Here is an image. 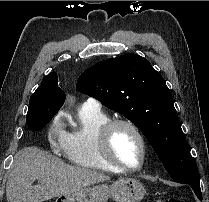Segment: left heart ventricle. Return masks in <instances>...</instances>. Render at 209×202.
Instances as JSON below:
<instances>
[{"instance_id":"1","label":"left heart ventricle","mask_w":209,"mask_h":202,"mask_svg":"<svg viewBox=\"0 0 209 202\" xmlns=\"http://www.w3.org/2000/svg\"><path fill=\"white\" fill-rule=\"evenodd\" d=\"M113 156L125 165L135 167L141 161V145L135 133L126 126L116 127L111 135Z\"/></svg>"}]
</instances>
